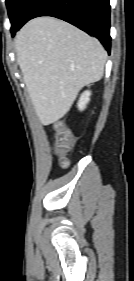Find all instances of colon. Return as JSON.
<instances>
[{
    "label": "colon",
    "instance_id": "5ec220e1",
    "mask_svg": "<svg viewBox=\"0 0 134 281\" xmlns=\"http://www.w3.org/2000/svg\"><path fill=\"white\" fill-rule=\"evenodd\" d=\"M55 145L54 150L59 158L61 166L68 165L67 154L72 148L74 135L71 129L61 121L54 123Z\"/></svg>",
    "mask_w": 134,
    "mask_h": 281
}]
</instances>
